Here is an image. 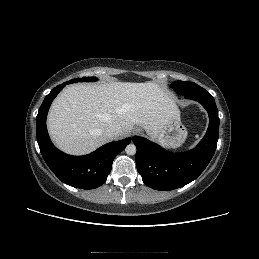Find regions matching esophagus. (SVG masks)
<instances>
[{
	"label": "esophagus",
	"mask_w": 259,
	"mask_h": 259,
	"mask_svg": "<svg viewBox=\"0 0 259 259\" xmlns=\"http://www.w3.org/2000/svg\"><path fill=\"white\" fill-rule=\"evenodd\" d=\"M138 133H139V131H138V130H135V131H134V134H138Z\"/></svg>",
	"instance_id": "34e87169"
}]
</instances>
